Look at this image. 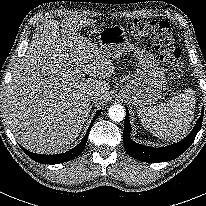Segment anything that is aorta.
Listing matches in <instances>:
<instances>
[{"label": "aorta", "mask_w": 206, "mask_h": 206, "mask_svg": "<svg viewBox=\"0 0 206 206\" xmlns=\"http://www.w3.org/2000/svg\"><path fill=\"white\" fill-rule=\"evenodd\" d=\"M109 118L114 122H120L125 117V109L120 104H114L109 108Z\"/></svg>", "instance_id": "obj_1"}]
</instances>
